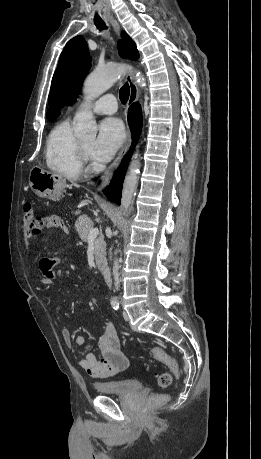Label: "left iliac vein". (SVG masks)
<instances>
[{"label":"left iliac vein","mask_w":261,"mask_h":459,"mask_svg":"<svg viewBox=\"0 0 261 459\" xmlns=\"http://www.w3.org/2000/svg\"><path fill=\"white\" fill-rule=\"evenodd\" d=\"M123 318H124V320H126V321L129 320V315H128L127 311H125V310L123 311Z\"/></svg>","instance_id":"1"}]
</instances>
